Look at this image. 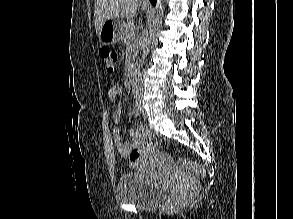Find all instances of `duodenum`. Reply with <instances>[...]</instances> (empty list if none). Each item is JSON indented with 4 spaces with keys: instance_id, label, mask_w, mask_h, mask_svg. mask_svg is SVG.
<instances>
[{
    "instance_id": "duodenum-1",
    "label": "duodenum",
    "mask_w": 293,
    "mask_h": 219,
    "mask_svg": "<svg viewBox=\"0 0 293 219\" xmlns=\"http://www.w3.org/2000/svg\"><path fill=\"white\" fill-rule=\"evenodd\" d=\"M136 74H137V68L135 64H132L128 71V79L129 81L134 84L136 81Z\"/></svg>"
}]
</instances>
